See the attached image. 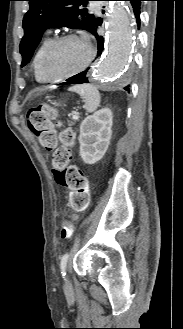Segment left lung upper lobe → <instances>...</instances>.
Masks as SVG:
<instances>
[{
  "instance_id": "1",
  "label": "left lung upper lobe",
  "mask_w": 183,
  "mask_h": 329,
  "mask_svg": "<svg viewBox=\"0 0 183 329\" xmlns=\"http://www.w3.org/2000/svg\"><path fill=\"white\" fill-rule=\"evenodd\" d=\"M30 9L23 19L24 36L20 43L21 67L31 59L35 48L47 28H78L91 31L94 14H88L80 6L91 0H27Z\"/></svg>"
}]
</instances>
